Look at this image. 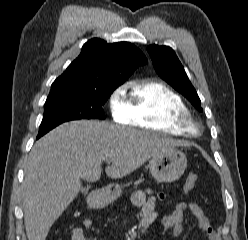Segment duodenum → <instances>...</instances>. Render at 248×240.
Instances as JSON below:
<instances>
[{"instance_id": "duodenum-1", "label": "duodenum", "mask_w": 248, "mask_h": 240, "mask_svg": "<svg viewBox=\"0 0 248 240\" xmlns=\"http://www.w3.org/2000/svg\"><path fill=\"white\" fill-rule=\"evenodd\" d=\"M99 193H95V199L96 197H98ZM93 206L95 207L96 206V202H94Z\"/></svg>"}]
</instances>
